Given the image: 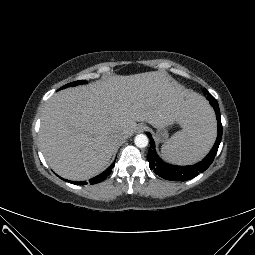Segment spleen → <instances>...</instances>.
Masks as SVG:
<instances>
[{"instance_id":"3e777b00","label":"spleen","mask_w":255,"mask_h":255,"mask_svg":"<svg viewBox=\"0 0 255 255\" xmlns=\"http://www.w3.org/2000/svg\"><path fill=\"white\" fill-rule=\"evenodd\" d=\"M216 138V122L208 105L198 104L196 118L174 134L162 146L165 160L175 164H191L202 159Z\"/></svg>"}]
</instances>
